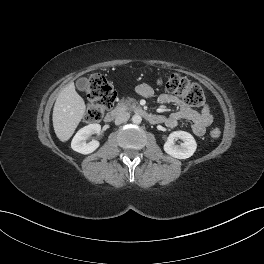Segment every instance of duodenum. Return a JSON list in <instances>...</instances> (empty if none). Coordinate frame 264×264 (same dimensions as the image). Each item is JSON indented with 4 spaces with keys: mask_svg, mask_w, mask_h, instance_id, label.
Here are the masks:
<instances>
[{
    "mask_svg": "<svg viewBox=\"0 0 264 264\" xmlns=\"http://www.w3.org/2000/svg\"><path fill=\"white\" fill-rule=\"evenodd\" d=\"M127 109H131L133 112L140 115L141 117H143L145 120H147L151 124H160L164 122L163 116L152 114L138 105L117 107L105 115L104 121L107 123L112 122L115 118L120 116Z\"/></svg>",
    "mask_w": 264,
    "mask_h": 264,
    "instance_id": "1",
    "label": "duodenum"
}]
</instances>
